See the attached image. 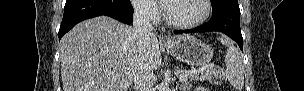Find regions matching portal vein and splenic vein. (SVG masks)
<instances>
[{
	"label": "portal vein and splenic vein",
	"instance_id": "1",
	"mask_svg": "<svg viewBox=\"0 0 304 91\" xmlns=\"http://www.w3.org/2000/svg\"><path fill=\"white\" fill-rule=\"evenodd\" d=\"M206 67H215V65H214V64H208ZM206 67H205V68H206ZM203 70H204V67L201 68V69H199V70H197V71H203ZM195 72H196V70H188V71H185L184 73H182V74L180 75V80H181V81L186 80L190 74L195 73Z\"/></svg>",
	"mask_w": 304,
	"mask_h": 91
}]
</instances>
